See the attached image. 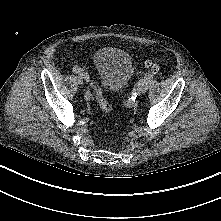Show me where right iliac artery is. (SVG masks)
<instances>
[{
  "instance_id": "right-iliac-artery-1",
  "label": "right iliac artery",
  "mask_w": 221,
  "mask_h": 221,
  "mask_svg": "<svg viewBox=\"0 0 221 221\" xmlns=\"http://www.w3.org/2000/svg\"><path fill=\"white\" fill-rule=\"evenodd\" d=\"M73 72H75L76 74H78L79 76H81L82 78L85 79L86 81V84H87V87H86V91H85V94H84V98L86 100H91L93 99V94H92V91H91V81H90V78H89V75L87 74V72L79 67H73Z\"/></svg>"
}]
</instances>
